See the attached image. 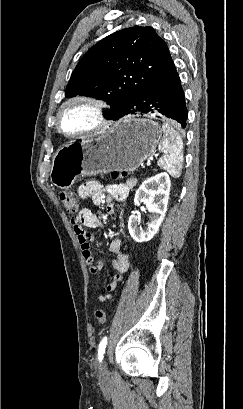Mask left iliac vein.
I'll use <instances>...</instances> for the list:
<instances>
[{
    "label": "left iliac vein",
    "instance_id": "left-iliac-vein-1",
    "mask_svg": "<svg viewBox=\"0 0 243 409\" xmlns=\"http://www.w3.org/2000/svg\"><path fill=\"white\" fill-rule=\"evenodd\" d=\"M100 371L99 374L101 377H105V375L107 374V366H106V362L102 361L101 365H100Z\"/></svg>",
    "mask_w": 243,
    "mask_h": 409
}]
</instances>
